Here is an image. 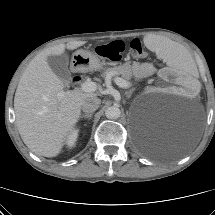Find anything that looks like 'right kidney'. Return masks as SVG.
Masks as SVG:
<instances>
[{
	"label": "right kidney",
	"mask_w": 215,
	"mask_h": 215,
	"mask_svg": "<svg viewBox=\"0 0 215 215\" xmlns=\"http://www.w3.org/2000/svg\"><path fill=\"white\" fill-rule=\"evenodd\" d=\"M78 129H73L71 130V132L68 134L67 138H66V144L68 147H73L75 145V142L77 140L78 137Z\"/></svg>",
	"instance_id": "1"
}]
</instances>
